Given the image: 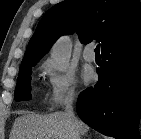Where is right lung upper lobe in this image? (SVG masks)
<instances>
[{
    "instance_id": "right-lung-upper-lobe-1",
    "label": "right lung upper lobe",
    "mask_w": 141,
    "mask_h": 139,
    "mask_svg": "<svg viewBox=\"0 0 141 139\" xmlns=\"http://www.w3.org/2000/svg\"><path fill=\"white\" fill-rule=\"evenodd\" d=\"M77 32L82 43L102 42L101 50L141 33L139 0H65L51 7L29 41L20 68L36 65L62 35Z\"/></svg>"
}]
</instances>
